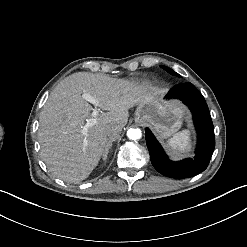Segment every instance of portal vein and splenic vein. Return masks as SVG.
<instances>
[{
    "instance_id": "obj_1",
    "label": "portal vein and splenic vein",
    "mask_w": 247,
    "mask_h": 247,
    "mask_svg": "<svg viewBox=\"0 0 247 247\" xmlns=\"http://www.w3.org/2000/svg\"><path fill=\"white\" fill-rule=\"evenodd\" d=\"M83 97L90 103H96L97 102V99L92 97L91 95L87 94V93H83ZM98 111L95 109L92 113H91V118L87 119L86 121V124H85V127H90V126H93L95 125L96 123H98Z\"/></svg>"
}]
</instances>
